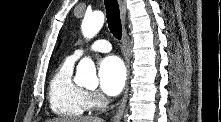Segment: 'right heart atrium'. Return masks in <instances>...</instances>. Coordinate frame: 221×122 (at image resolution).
I'll list each match as a JSON object with an SVG mask.
<instances>
[{
	"mask_svg": "<svg viewBox=\"0 0 221 122\" xmlns=\"http://www.w3.org/2000/svg\"><path fill=\"white\" fill-rule=\"evenodd\" d=\"M87 98L91 107H101L104 105V98L96 92H87Z\"/></svg>",
	"mask_w": 221,
	"mask_h": 122,
	"instance_id": "obj_1",
	"label": "right heart atrium"
}]
</instances>
